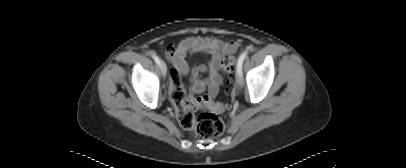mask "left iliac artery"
Returning a JSON list of instances; mask_svg holds the SVG:
<instances>
[{
  "label": "left iliac artery",
  "mask_w": 406,
  "mask_h": 168,
  "mask_svg": "<svg viewBox=\"0 0 406 168\" xmlns=\"http://www.w3.org/2000/svg\"><path fill=\"white\" fill-rule=\"evenodd\" d=\"M247 54H248L247 51L243 52L238 59V62H237V72L238 73H242V65H243L245 58L247 57Z\"/></svg>",
  "instance_id": "left-iliac-artery-1"
}]
</instances>
